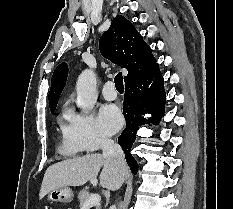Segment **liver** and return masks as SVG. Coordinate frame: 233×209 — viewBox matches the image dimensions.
Wrapping results in <instances>:
<instances>
[{
	"instance_id": "6515ba94",
	"label": "liver",
	"mask_w": 233,
	"mask_h": 209,
	"mask_svg": "<svg viewBox=\"0 0 233 209\" xmlns=\"http://www.w3.org/2000/svg\"><path fill=\"white\" fill-rule=\"evenodd\" d=\"M101 168L100 185L108 190L119 189L128 173L126 165L120 167L115 160L105 158L101 154H88L49 166L43 177L39 199L51 190L82 186L88 181L96 180Z\"/></svg>"
}]
</instances>
